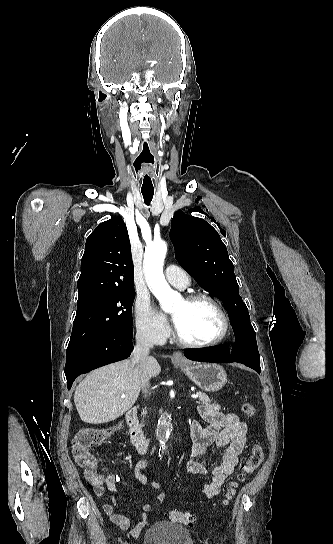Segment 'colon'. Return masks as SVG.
Instances as JSON below:
<instances>
[{"mask_svg":"<svg viewBox=\"0 0 333 544\" xmlns=\"http://www.w3.org/2000/svg\"><path fill=\"white\" fill-rule=\"evenodd\" d=\"M241 411L246 416L252 417L255 414V407L248 402L241 405ZM119 425L111 427H84L78 430L73 440V454L77 464L85 469L86 478L92 484L101 482L102 475L97 470V459L91 452V448L119 429ZM264 458V451L261 445L255 444L248 454L245 462L242 465L241 471L237 476V480L232 482L225 492L224 502L226 504L235 496L237 489L241 483L246 481L261 465ZM168 518L174 522H179L185 525L192 526L194 516L188 512L174 509L168 512Z\"/></svg>","mask_w":333,"mask_h":544,"instance_id":"colon-1","label":"colon"}]
</instances>
